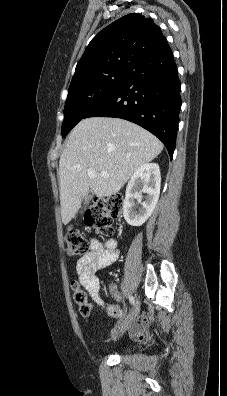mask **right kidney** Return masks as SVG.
I'll return each instance as SVG.
<instances>
[{"label": "right kidney", "mask_w": 227, "mask_h": 396, "mask_svg": "<svg viewBox=\"0 0 227 396\" xmlns=\"http://www.w3.org/2000/svg\"><path fill=\"white\" fill-rule=\"evenodd\" d=\"M160 184V169L156 163L144 164L133 173L123 203V216L129 225L141 226L146 222L158 202ZM142 193L146 194L143 202Z\"/></svg>", "instance_id": "1"}]
</instances>
